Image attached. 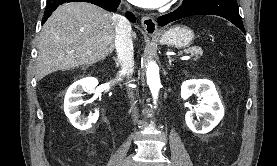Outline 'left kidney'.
I'll use <instances>...</instances> for the list:
<instances>
[{
    "instance_id": "left-kidney-1",
    "label": "left kidney",
    "mask_w": 277,
    "mask_h": 166,
    "mask_svg": "<svg viewBox=\"0 0 277 166\" xmlns=\"http://www.w3.org/2000/svg\"><path fill=\"white\" fill-rule=\"evenodd\" d=\"M193 93L202 98L201 105L199 108L186 113L185 122L192 132L205 134L221 121L224 116V108L214 84L209 80L199 79L183 82L181 98L187 100ZM194 113L198 118L203 117V121H195Z\"/></svg>"
}]
</instances>
